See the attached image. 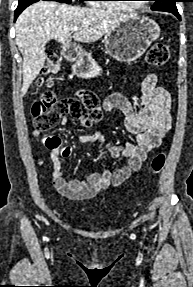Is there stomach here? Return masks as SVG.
I'll return each instance as SVG.
<instances>
[{"instance_id": "stomach-1", "label": "stomach", "mask_w": 193, "mask_h": 287, "mask_svg": "<svg viewBox=\"0 0 193 287\" xmlns=\"http://www.w3.org/2000/svg\"><path fill=\"white\" fill-rule=\"evenodd\" d=\"M160 27L146 16H134L117 25L104 38L105 51L120 62L129 63L141 57L160 37ZM63 55L74 61L72 72L88 79L101 74V68L92 55L81 48L64 46Z\"/></svg>"}]
</instances>
